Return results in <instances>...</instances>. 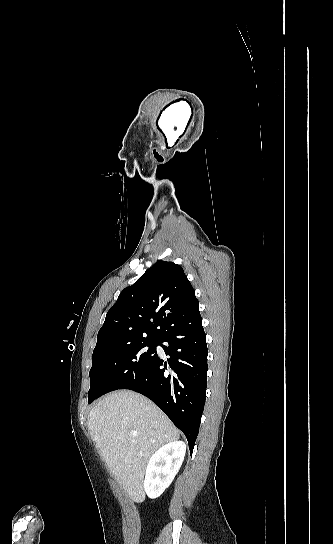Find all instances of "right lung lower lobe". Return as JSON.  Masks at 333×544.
Here are the masks:
<instances>
[{
    "label": "right lung lower lobe",
    "mask_w": 333,
    "mask_h": 544,
    "mask_svg": "<svg viewBox=\"0 0 333 544\" xmlns=\"http://www.w3.org/2000/svg\"><path fill=\"white\" fill-rule=\"evenodd\" d=\"M167 362L156 357L144 372L122 389L151 399L185 434L193 452L207 388L206 334L201 315L168 330L159 340ZM159 345V344H158Z\"/></svg>",
    "instance_id": "98d812e1"
}]
</instances>
